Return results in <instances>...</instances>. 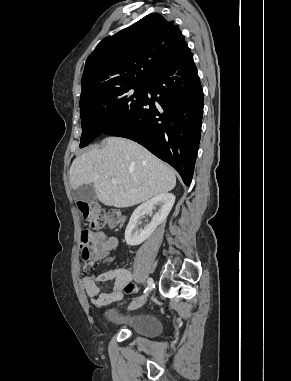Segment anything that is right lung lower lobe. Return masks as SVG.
<instances>
[{"label": "right lung lower lobe", "mask_w": 291, "mask_h": 381, "mask_svg": "<svg viewBox=\"0 0 291 381\" xmlns=\"http://www.w3.org/2000/svg\"><path fill=\"white\" fill-rule=\"evenodd\" d=\"M146 84L139 108L104 133L138 142L174 167L189 186L199 148L204 104L190 49H184Z\"/></svg>", "instance_id": "98d812e1"}]
</instances>
